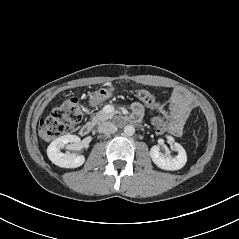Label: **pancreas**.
<instances>
[{
  "instance_id": "1",
  "label": "pancreas",
  "mask_w": 239,
  "mask_h": 239,
  "mask_svg": "<svg viewBox=\"0 0 239 239\" xmlns=\"http://www.w3.org/2000/svg\"><path fill=\"white\" fill-rule=\"evenodd\" d=\"M113 116H114V113H105L103 110H100L92 118V122L100 123V122L106 121L108 119H111Z\"/></svg>"
}]
</instances>
